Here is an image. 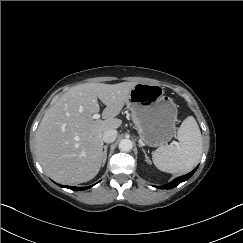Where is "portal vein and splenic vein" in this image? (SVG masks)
I'll return each instance as SVG.
<instances>
[{
	"instance_id": "1",
	"label": "portal vein and splenic vein",
	"mask_w": 243,
	"mask_h": 243,
	"mask_svg": "<svg viewBox=\"0 0 243 243\" xmlns=\"http://www.w3.org/2000/svg\"><path fill=\"white\" fill-rule=\"evenodd\" d=\"M100 117H101V115L98 114V113H96V114L93 115V119H99Z\"/></svg>"
}]
</instances>
